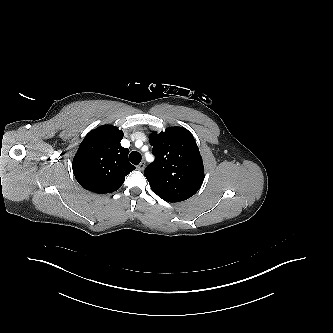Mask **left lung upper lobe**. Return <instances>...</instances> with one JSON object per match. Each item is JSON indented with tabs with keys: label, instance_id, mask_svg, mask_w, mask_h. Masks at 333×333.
I'll return each mask as SVG.
<instances>
[{
	"label": "left lung upper lobe",
	"instance_id": "left-lung-upper-lobe-1",
	"mask_svg": "<svg viewBox=\"0 0 333 333\" xmlns=\"http://www.w3.org/2000/svg\"><path fill=\"white\" fill-rule=\"evenodd\" d=\"M154 162L144 175L151 189L168 202H180L193 196L204 180V167L192 134L183 127L149 135Z\"/></svg>",
	"mask_w": 333,
	"mask_h": 333
}]
</instances>
